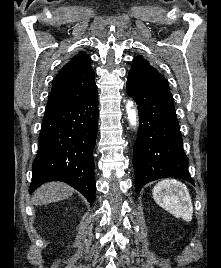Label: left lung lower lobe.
<instances>
[{
	"mask_svg": "<svg viewBox=\"0 0 221 268\" xmlns=\"http://www.w3.org/2000/svg\"><path fill=\"white\" fill-rule=\"evenodd\" d=\"M126 89L137 103L140 117L133 149L136 193L146 183L163 177L181 178L194 184L169 90L149 87L129 78Z\"/></svg>",
	"mask_w": 221,
	"mask_h": 268,
	"instance_id": "left-lung-lower-lobe-1",
	"label": "left lung lower lobe"
}]
</instances>
